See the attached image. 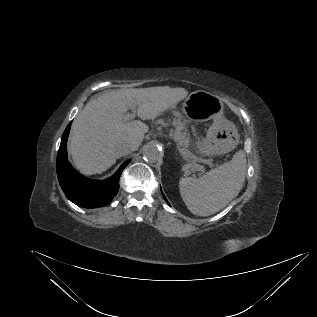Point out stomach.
<instances>
[{
  "instance_id": "obj_1",
  "label": "stomach",
  "mask_w": 317,
  "mask_h": 317,
  "mask_svg": "<svg viewBox=\"0 0 317 317\" xmlns=\"http://www.w3.org/2000/svg\"><path fill=\"white\" fill-rule=\"evenodd\" d=\"M196 102L205 110L204 120H211L206 138L196 142L198 153L203 156L220 155L232 151L239 143L236 126L223 118L221 99L209 92L199 90L191 93L187 102Z\"/></svg>"
}]
</instances>
